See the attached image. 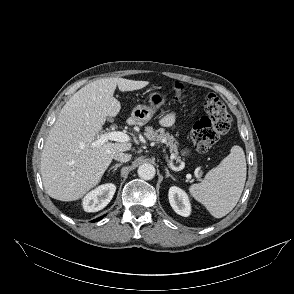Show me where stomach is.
<instances>
[{"mask_svg": "<svg viewBox=\"0 0 294 294\" xmlns=\"http://www.w3.org/2000/svg\"><path fill=\"white\" fill-rule=\"evenodd\" d=\"M166 95L160 92H153L149 96L150 106L138 105L131 113V120L134 124L142 126L154 116L156 111L165 103ZM189 151L184 150L183 154Z\"/></svg>", "mask_w": 294, "mask_h": 294, "instance_id": "0dacf381", "label": "stomach"}]
</instances>
